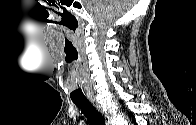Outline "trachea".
Segmentation results:
<instances>
[{
	"instance_id": "1",
	"label": "trachea",
	"mask_w": 196,
	"mask_h": 125,
	"mask_svg": "<svg viewBox=\"0 0 196 125\" xmlns=\"http://www.w3.org/2000/svg\"><path fill=\"white\" fill-rule=\"evenodd\" d=\"M73 102L87 117L91 125H105L102 115L89 102V100L86 99V100H78Z\"/></svg>"
}]
</instances>
